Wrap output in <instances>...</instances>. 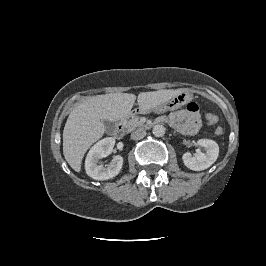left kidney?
<instances>
[{
  "label": "left kidney",
  "instance_id": "5707ae66",
  "mask_svg": "<svg viewBox=\"0 0 266 266\" xmlns=\"http://www.w3.org/2000/svg\"><path fill=\"white\" fill-rule=\"evenodd\" d=\"M197 144L204 147L205 152H199L194 156L186 152L183 154L182 159L187 168L194 171H201L209 168L217 160L219 147L215 141L210 139H199Z\"/></svg>",
  "mask_w": 266,
  "mask_h": 266
}]
</instances>
